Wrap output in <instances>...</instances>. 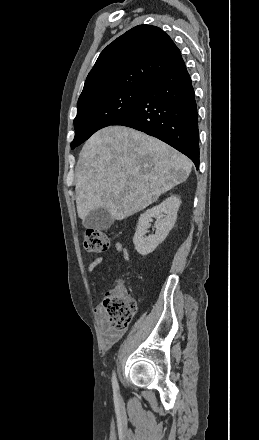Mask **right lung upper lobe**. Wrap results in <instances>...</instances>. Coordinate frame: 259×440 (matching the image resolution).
Segmentation results:
<instances>
[{
  "instance_id": "1",
  "label": "right lung upper lobe",
  "mask_w": 259,
  "mask_h": 440,
  "mask_svg": "<svg viewBox=\"0 0 259 440\" xmlns=\"http://www.w3.org/2000/svg\"><path fill=\"white\" fill-rule=\"evenodd\" d=\"M181 59L167 33L156 26L138 25L101 52L87 76L78 107L120 89L149 87Z\"/></svg>"
}]
</instances>
